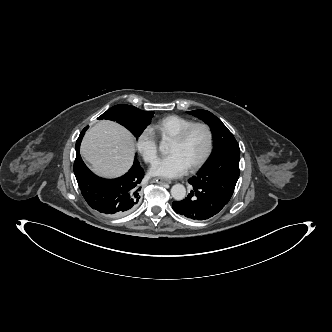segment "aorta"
<instances>
[{"label":"aorta","mask_w":332,"mask_h":332,"mask_svg":"<svg viewBox=\"0 0 332 332\" xmlns=\"http://www.w3.org/2000/svg\"><path fill=\"white\" fill-rule=\"evenodd\" d=\"M164 143L160 144V149H164ZM171 195L176 201H181L186 196V188L182 184H175L171 188Z\"/></svg>","instance_id":"obj_1"}]
</instances>
